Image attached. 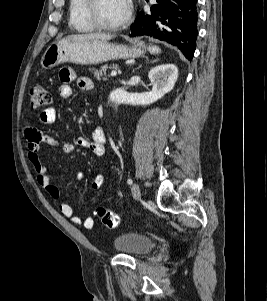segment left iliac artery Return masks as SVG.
<instances>
[{
    "mask_svg": "<svg viewBox=\"0 0 267 301\" xmlns=\"http://www.w3.org/2000/svg\"><path fill=\"white\" fill-rule=\"evenodd\" d=\"M132 179H128V181H127V183L129 184V185H131L132 184Z\"/></svg>",
    "mask_w": 267,
    "mask_h": 301,
    "instance_id": "1",
    "label": "left iliac artery"
}]
</instances>
